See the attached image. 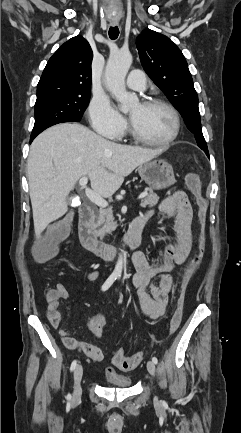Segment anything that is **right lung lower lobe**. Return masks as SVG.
I'll return each mask as SVG.
<instances>
[{
    "label": "right lung lower lobe",
    "mask_w": 241,
    "mask_h": 433,
    "mask_svg": "<svg viewBox=\"0 0 241 433\" xmlns=\"http://www.w3.org/2000/svg\"><path fill=\"white\" fill-rule=\"evenodd\" d=\"M36 136H31L30 137V143L33 141V139L35 138Z\"/></svg>",
    "instance_id": "right-lung-lower-lobe-1"
}]
</instances>
